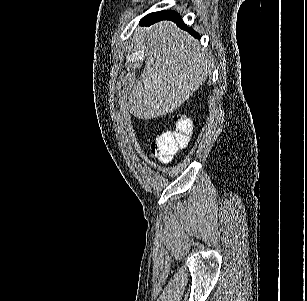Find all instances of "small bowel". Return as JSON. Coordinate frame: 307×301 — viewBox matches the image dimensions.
Listing matches in <instances>:
<instances>
[{
    "label": "small bowel",
    "mask_w": 307,
    "mask_h": 301,
    "mask_svg": "<svg viewBox=\"0 0 307 301\" xmlns=\"http://www.w3.org/2000/svg\"><path fill=\"white\" fill-rule=\"evenodd\" d=\"M151 156H152V157H154V156H155V154H154V153H152V154H151Z\"/></svg>",
    "instance_id": "c3829d8e"
}]
</instances>
